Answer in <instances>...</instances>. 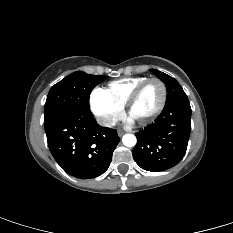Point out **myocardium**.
Wrapping results in <instances>:
<instances>
[{
  "mask_svg": "<svg viewBox=\"0 0 233 233\" xmlns=\"http://www.w3.org/2000/svg\"><path fill=\"white\" fill-rule=\"evenodd\" d=\"M151 82H157L160 84V86L162 88L161 102H160L159 106L157 107V109L150 116H148L145 119L136 121L140 125H147V124H150L151 122H153L162 113V111L165 107V104H166L167 88H166L165 83L159 78H148L145 81H143L142 83H140L133 90V92L129 96L128 100L126 101L125 110H126L127 115L130 116V111H131L133 105L135 104V102L137 101V99L139 98L142 90Z\"/></svg>",
  "mask_w": 233,
  "mask_h": 233,
  "instance_id": "f54148a6",
  "label": "myocardium"
}]
</instances>
